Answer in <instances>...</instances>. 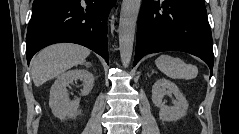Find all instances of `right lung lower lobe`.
Listing matches in <instances>:
<instances>
[{
  "label": "right lung lower lobe",
  "mask_w": 239,
  "mask_h": 134,
  "mask_svg": "<svg viewBox=\"0 0 239 134\" xmlns=\"http://www.w3.org/2000/svg\"><path fill=\"white\" fill-rule=\"evenodd\" d=\"M116 0H34L26 36V58L50 44L90 48L108 63L107 18Z\"/></svg>",
  "instance_id": "right-lung-lower-lobe-1"
}]
</instances>
